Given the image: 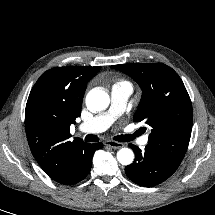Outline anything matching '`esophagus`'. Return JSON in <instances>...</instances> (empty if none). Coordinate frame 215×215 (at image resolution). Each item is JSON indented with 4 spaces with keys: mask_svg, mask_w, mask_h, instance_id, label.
Segmentation results:
<instances>
[{
    "mask_svg": "<svg viewBox=\"0 0 215 215\" xmlns=\"http://www.w3.org/2000/svg\"><path fill=\"white\" fill-rule=\"evenodd\" d=\"M104 144L106 146H109V147L114 148V149H119V148H122L124 146L123 143L111 141V140L106 141Z\"/></svg>",
    "mask_w": 215,
    "mask_h": 215,
    "instance_id": "esophagus-1",
    "label": "esophagus"
}]
</instances>
